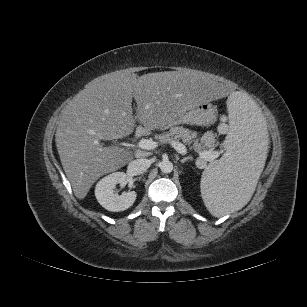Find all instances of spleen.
Returning <instances> with one entry per match:
<instances>
[{
	"label": "spleen",
	"instance_id": "spleen-1",
	"mask_svg": "<svg viewBox=\"0 0 307 307\" xmlns=\"http://www.w3.org/2000/svg\"><path fill=\"white\" fill-rule=\"evenodd\" d=\"M230 132L225 156L210 164L201 178V196L208 211L221 217L250 200L263 169L269 142L264 118L244 92L227 99Z\"/></svg>",
	"mask_w": 307,
	"mask_h": 307
}]
</instances>
